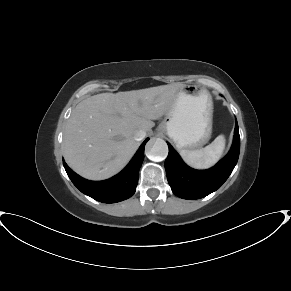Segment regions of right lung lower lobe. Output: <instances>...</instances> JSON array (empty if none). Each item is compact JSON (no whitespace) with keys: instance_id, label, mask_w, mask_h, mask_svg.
Segmentation results:
<instances>
[{"instance_id":"1","label":"right lung lower lobe","mask_w":291,"mask_h":291,"mask_svg":"<svg viewBox=\"0 0 291 291\" xmlns=\"http://www.w3.org/2000/svg\"><path fill=\"white\" fill-rule=\"evenodd\" d=\"M148 138L141 144L138 151L116 176L104 181H89L73 172L65 162L64 168L73 184L84 194L103 203L120 202L131 197L138 184V173L144 159V148Z\"/></svg>"}]
</instances>
